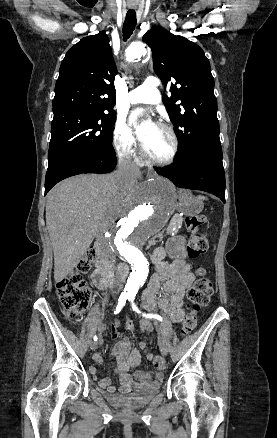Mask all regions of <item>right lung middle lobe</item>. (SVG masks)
Masks as SVG:
<instances>
[{"label":"right lung middle lobe","instance_id":"1","mask_svg":"<svg viewBox=\"0 0 277 438\" xmlns=\"http://www.w3.org/2000/svg\"><path fill=\"white\" fill-rule=\"evenodd\" d=\"M115 120L116 114L54 116L48 168L72 157L99 152L115 153L112 146Z\"/></svg>","mask_w":277,"mask_h":438}]
</instances>
